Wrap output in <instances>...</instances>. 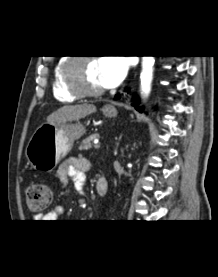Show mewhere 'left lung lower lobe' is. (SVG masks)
Returning <instances> with one entry per match:
<instances>
[{
  "instance_id": "0a47b994",
  "label": "left lung lower lobe",
  "mask_w": 218,
  "mask_h": 277,
  "mask_svg": "<svg viewBox=\"0 0 218 277\" xmlns=\"http://www.w3.org/2000/svg\"><path fill=\"white\" fill-rule=\"evenodd\" d=\"M119 97H120L119 94H117V95L115 96L116 99L119 98ZM134 101H135V104L138 105V99L136 98ZM136 109H138L139 111H141L138 107H136Z\"/></svg>"
}]
</instances>
